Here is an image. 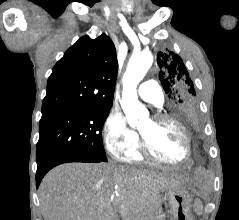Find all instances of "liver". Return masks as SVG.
Listing matches in <instances>:
<instances>
[{"instance_id": "obj_1", "label": "liver", "mask_w": 239, "mask_h": 220, "mask_svg": "<svg viewBox=\"0 0 239 220\" xmlns=\"http://www.w3.org/2000/svg\"><path fill=\"white\" fill-rule=\"evenodd\" d=\"M180 175L117 166L67 163L42 180L39 198L44 220H153L165 189L183 187Z\"/></svg>"}]
</instances>
